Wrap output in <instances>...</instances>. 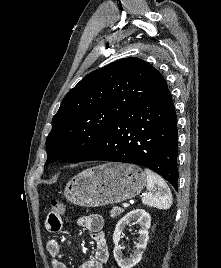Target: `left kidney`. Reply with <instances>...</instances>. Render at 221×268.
<instances>
[{
  "label": "left kidney",
  "mask_w": 221,
  "mask_h": 268,
  "mask_svg": "<svg viewBox=\"0 0 221 268\" xmlns=\"http://www.w3.org/2000/svg\"><path fill=\"white\" fill-rule=\"evenodd\" d=\"M132 221H137L140 225V229L138 232L139 233L138 243L136 244V250L131 255V257L123 258V253L119 245V242L121 239L123 229H125L126 226L130 224ZM150 225H151V217L149 213H147L143 209H136L130 211L122 219L119 220L113 234V243L115 244L113 254L117 264L121 268H132L141 260L142 254L147 246V242L149 239L148 230L150 228Z\"/></svg>",
  "instance_id": "obj_1"
}]
</instances>
